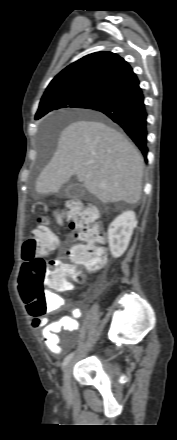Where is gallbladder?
Segmentation results:
<instances>
[{"label":"gallbladder","mask_w":177,"mask_h":440,"mask_svg":"<svg viewBox=\"0 0 177 440\" xmlns=\"http://www.w3.org/2000/svg\"><path fill=\"white\" fill-rule=\"evenodd\" d=\"M84 194V186L79 183H70L65 190V195L69 198H79Z\"/></svg>","instance_id":"obj_1"}]
</instances>
